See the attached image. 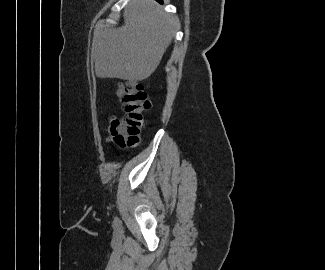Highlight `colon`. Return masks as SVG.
Returning <instances> with one entry per match:
<instances>
[{"label":"colon","instance_id":"5ec220e1","mask_svg":"<svg viewBox=\"0 0 325 270\" xmlns=\"http://www.w3.org/2000/svg\"><path fill=\"white\" fill-rule=\"evenodd\" d=\"M117 95L123 105L125 116L118 120L111 135L122 149L136 146L144 126V113L150 107V101L144 87L135 81L121 82Z\"/></svg>","mask_w":325,"mask_h":270}]
</instances>
